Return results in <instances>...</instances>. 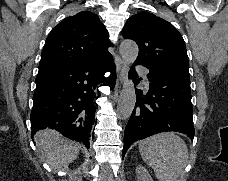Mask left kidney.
<instances>
[{
    "mask_svg": "<svg viewBox=\"0 0 228 181\" xmlns=\"http://www.w3.org/2000/svg\"><path fill=\"white\" fill-rule=\"evenodd\" d=\"M136 175L137 181H153L147 169H145V167H142V165H138V167H136Z\"/></svg>",
    "mask_w": 228,
    "mask_h": 181,
    "instance_id": "obj_1",
    "label": "left kidney"
}]
</instances>
